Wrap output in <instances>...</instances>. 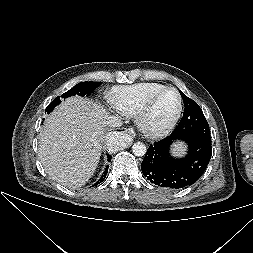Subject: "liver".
Returning <instances> with one entry per match:
<instances>
[{"mask_svg":"<svg viewBox=\"0 0 253 253\" xmlns=\"http://www.w3.org/2000/svg\"><path fill=\"white\" fill-rule=\"evenodd\" d=\"M107 117L101 106L76 96L63 101L46 118L40 133L39 157L53 180L78 188L93 176Z\"/></svg>","mask_w":253,"mask_h":253,"instance_id":"obj_1","label":"liver"}]
</instances>
